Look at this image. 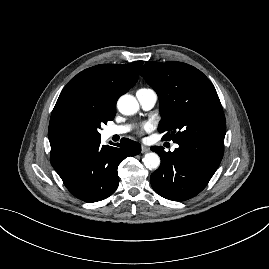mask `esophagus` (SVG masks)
<instances>
[{
  "instance_id": "1",
  "label": "esophagus",
  "mask_w": 269,
  "mask_h": 269,
  "mask_svg": "<svg viewBox=\"0 0 269 269\" xmlns=\"http://www.w3.org/2000/svg\"><path fill=\"white\" fill-rule=\"evenodd\" d=\"M149 151V148L147 147V146H145V145H142L141 146V152L142 153H146V152H148Z\"/></svg>"
}]
</instances>
